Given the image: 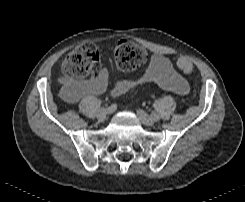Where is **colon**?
Segmentation results:
<instances>
[{
    "label": "colon",
    "instance_id": "colon-1",
    "mask_svg": "<svg viewBox=\"0 0 245 202\" xmlns=\"http://www.w3.org/2000/svg\"><path fill=\"white\" fill-rule=\"evenodd\" d=\"M148 61V52L129 39H122L115 45L116 66L126 72L143 67ZM100 65L97 49L90 43L75 48L61 61L59 68L64 76L62 95L67 100L78 78L96 75ZM184 73H190L192 63L185 62L181 66Z\"/></svg>",
    "mask_w": 245,
    "mask_h": 202
}]
</instances>
